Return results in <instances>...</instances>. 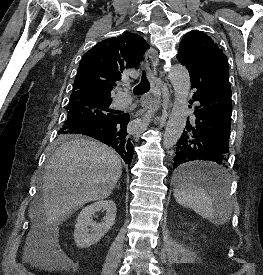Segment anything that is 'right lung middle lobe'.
<instances>
[{
  "mask_svg": "<svg viewBox=\"0 0 263 275\" xmlns=\"http://www.w3.org/2000/svg\"><path fill=\"white\" fill-rule=\"evenodd\" d=\"M111 102V98H104L94 94L71 96L67 107V120L60 129L56 141L64 142L69 140L70 134H67L66 131L75 125L113 117L115 112L109 109Z\"/></svg>",
  "mask_w": 263,
  "mask_h": 275,
  "instance_id": "right-lung-middle-lobe-1",
  "label": "right lung middle lobe"
}]
</instances>
